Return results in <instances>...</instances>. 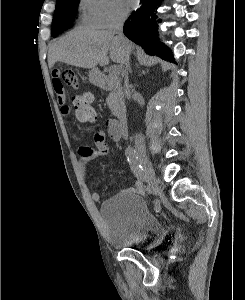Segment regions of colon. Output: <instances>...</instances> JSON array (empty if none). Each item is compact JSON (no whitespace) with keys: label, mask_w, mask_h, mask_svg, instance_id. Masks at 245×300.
Here are the masks:
<instances>
[{"label":"colon","mask_w":245,"mask_h":300,"mask_svg":"<svg viewBox=\"0 0 245 300\" xmlns=\"http://www.w3.org/2000/svg\"><path fill=\"white\" fill-rule=\"evenodd\" d=\"M62 82L73 90H78V78L73 70H57L54 72ZM75 115L80 122H92L95 119L92 95L88 92H77L73 96Z\"/></svg>","instance_id":"obj_1"}]
</instances>
